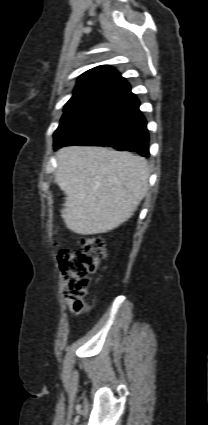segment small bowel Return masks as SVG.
Listing matches in <instances>:
<instances>
[{"label":"small bowel","mask_w":208,"mask_h":425,"mask_svg":"<svg viewBox=\"0 0 208 425\" xmlns=\"http://www.w3.org/2000/svg\"><path fill=\"white\" fill-rule=\"evenodd\" d=\"M67 305L70 307L71 310H73V312L75 314H80L82 313L85 309H86V305H78L76 301H74L73 299L70 298H66L65 299Z\"/></svg>","instance_id":"1"}]
</instances>
